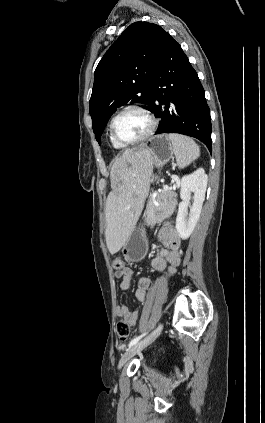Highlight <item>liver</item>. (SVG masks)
Instances as JSON below:
<instances>
[{
  "instance_id": "6515ba94",
  "label": "liver",
  "mask_w": 265,
  "mask_h": 423,
  "mask_svg": "<svg viewBox=\"0 0 265 423\" xmlns=\"http://www.w3.org/2000/svg\"><path fill=\"white\" fill-rule=\"evenodd\" d=\"M153 158L150 152L127 149L111 169L112 192L105 207V238L109 252L117 253L125 244L142 212L150 189Z\"/></svg>"
}]
</instances>
